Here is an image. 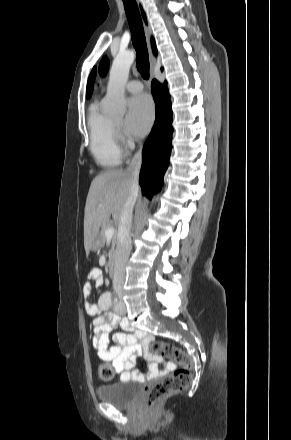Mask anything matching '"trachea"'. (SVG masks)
<instances>
[{
	"mask_svg": "<svg viewBox=\"0 0 291 440\" xmlns=\"http://www.w3.org/2000/svg\"><path fill=\"white\" fill-rule=\"evenodd\" d=\"M131 31L132 43L136 50V66L144 79L149 78V57L143 24L135 0H123Z\"/></svg>",
	"mask_w": 291,
	"mask_h": 440,
	"instance_id": "1",
	"label": "trachea"
}]
</instances>
